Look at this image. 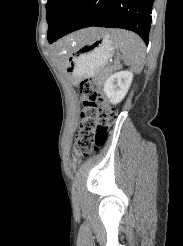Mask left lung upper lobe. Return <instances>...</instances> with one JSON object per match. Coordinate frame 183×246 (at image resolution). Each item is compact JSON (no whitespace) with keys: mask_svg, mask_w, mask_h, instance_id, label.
<instances>
[{"mask_svg":"<svg viewBox=\"0 0 183 246\" xmlns=\"http://www.w3.org/2000/svg\"><path fill=\"white\" fill-rule=\"evenodd\" d=\"M81 0H48L46 3V17L48 41L55 38L65 27L75 13Z\"/></svg>","mask_w":183,"mask_h":246,"instance_id":"1","label":"left lung upper lobe"}]
</instances>
